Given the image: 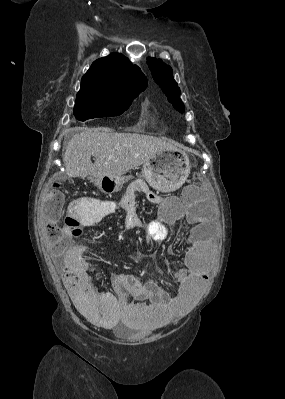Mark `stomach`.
<instances>
[{
  "label": "stomach",
  "mask_w": 285,
  "mask_h": 399,
  "mask_svg": "<svg viewBox=\"0 0 285 399\" xmlns=\"http://www.w3.org/2000/svg\"><path fill=\"white\" fill-rule=\"evenodd\" d=\"M189 173V157L177 148L159 151L142 167V176L149 185L162 192L175 191L181 187ZM124 181L122 176H104L94 182L101 192L111 194L117 192Z\"/></svg>",
  "instance_id": "0dacf381"
}]
</instances>
